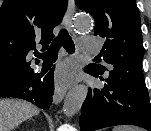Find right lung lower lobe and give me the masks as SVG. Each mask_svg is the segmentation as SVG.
<instances>
[{
	"label": "right lung lower lobe",
	"mask_w": 151,
	"mask_h": 131,
	"mask_svg": "<svg viewBox=\"0 0 151 131\" xmlns=\"http://www.w3.org/2000/svg\"><path fill=\"white\" fill-rule=\"evenodd\" d=\"M54 67L42 78L38 73L23 78L16 83L0 89V96L27 100L36 106L47 110L52 103Z\"/></svg>",
	"instance_id": "1"
}]
</instances>
